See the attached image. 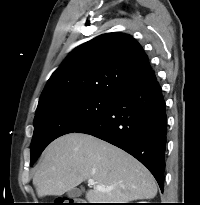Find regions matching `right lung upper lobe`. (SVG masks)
Masks as SVG:
<instances>
[{"instance_id":"1","label":"right lung upper lobe","mask_w":200,"mask_h":205,"mask_svg":"<svg viewBox=\"0 0 200 205\" xmlns=\"http://www.w3.org/2000/svg\"><path fill=\"white\" fill-rule=\"evenodd\" d=\"M150 71L147 55L130 35H100L75 48L52 74L41 94L36 113L77 96L115 98Z\"/></svg>"}]
</instances>
